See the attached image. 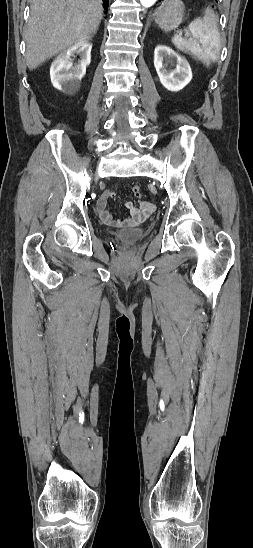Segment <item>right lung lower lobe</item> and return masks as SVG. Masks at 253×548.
<instances>
[{"instance_id": "right-lung-lower-lobe-1", "label": "right lung lower lobe", "mask_w": 253, "mask_h": 548, "mask_svg": "<svg viewBox=\"0 0 253 548\" xmlns=\"http://www.w3.org/2000/svg\"><path fill=\"white\" fill-rule=\"evenodd\" d=\"M102 1L104 2V5H105V7H106V9H107V8H108V2H109V0H102Z\"/></svg>"}]
</instances>
